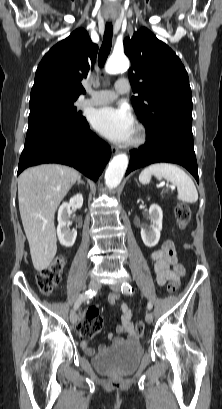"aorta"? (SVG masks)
I'll use <instances>...</instances> for the list:
<instances>
[{
  "label": "aorta",
  "mask_w": 222,
  "mask_h": 409,
  "mask_svg": "<svg viewBox=\"0 0 222 409\" xmlns=\"http://www.w3.org/2000/svg\"><path fill=\"white\" fill-rule=\"evenodd\" d=\"M129 68V60L124 56L112 55L107 61L105 70L109 74H117ZM128 156L126 154L116 155L109 163L105 172V184L109 189L116 188L128 167Z\"/></svg>",
  "instance_id": "aorta-1"
}]
</instances>
